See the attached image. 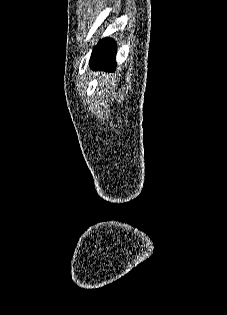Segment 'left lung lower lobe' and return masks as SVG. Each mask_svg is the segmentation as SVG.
<instances>
[{"label": "left lung lower lobe", "mask_w": 227, "mask_h": 315, "mask_svg": "<svg viewBox=\"0 0 227 315\" xmlns=\"http://www.w3.org/2000/svg\"><path fill=\"white\" fill-rule=\"evenodd\" d=\"M116 43L109 38L102 39L93 49L90 66L94 70L114 71L116 68Z\"/></svg>", "instance_id": "0a47b994"}]
</instances>
